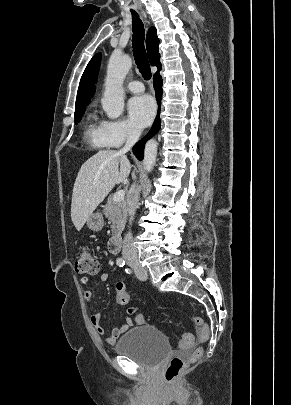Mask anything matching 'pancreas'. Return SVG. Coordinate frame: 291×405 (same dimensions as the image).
<instances>
[{"label": "pancreas", "instance_id": "cf45deb5", "mask_svg": "<svg viewBox=\"0 0 291 405\" xmlns=\"http://www.w3.org/2000/svg\"><path fill=\"white\" fill-rule=\"evenodd\" d=\"M106 218L111 222V232L114 236L120 235L126 223L125 201L115 202L113 196H109L103 211Z\"/></svg>", "mask_w": 291, "mask_h": 405}]
</instances>
